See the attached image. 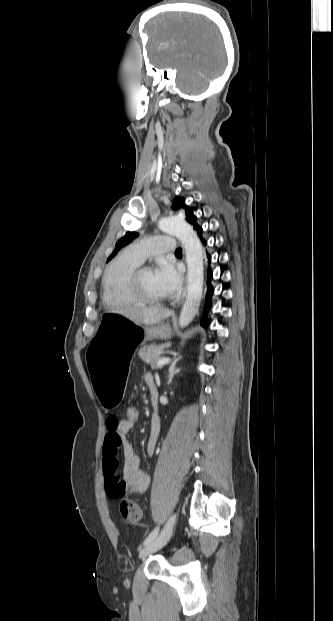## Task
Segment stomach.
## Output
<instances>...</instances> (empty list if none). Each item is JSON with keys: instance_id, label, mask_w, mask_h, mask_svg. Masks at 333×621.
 Wrapping results in <instances>:
<instances>
[{"instance_id": "obj_1", "label": "stomach", "mask_w": 333, "mask_h": 621, "mask_svg": "<svg viewBox=\"0 0 333 621\" xmlns=\"http://www.w3.org/2000/svg\"><path fill=\"white\" fill-rule=\"evenodd\" d=\"M153 338L150 327L135 323L130 314L108 313L102 317L95 337L87 343L85 360L95 395L107 412L114 413L120 407L136 346Z\"/></svg>"}]
</instances>
